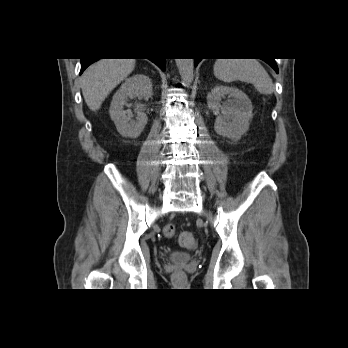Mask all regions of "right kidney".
Segmentation results:
<instances>
[{
    "instance_id": "obj_1",
    "label": "right kidney",
    "mask_w": 348,
    "mask_h": 348,
    "mask_svg": "<svg viewBox=\"0 0 348 348\" xmlns=\"http://www.w3.org/2000/svg\"><path fill=\"white\" fill-rule=\"evenodd\" d=\"M152 97V83L149 77L143 74H136L129 77L114 94L110 105V117L114 122L117 131L124 137L137 138L144 130L148 118L144 112H137L136 121L132 120L131 110H124L128 105V98Z\"/></svg>"
}]
</instances>
